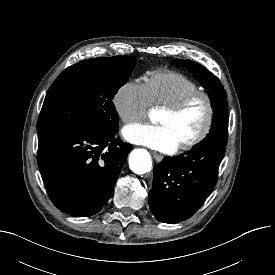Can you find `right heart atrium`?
Here are the masks:
<instances>
[{
    "label": "right heart atrium",
    "instance_id": "right-heart-atrium-1",
    "mask_svg": "<svg viewBox=\"0 0 275 275\" xmlns=\"http://www.w3.org/2000/svg\"><path fill=\"white\" fill-rule=\"evenodd\" d=\"M113 106L125 124L143 119L151 106L145 85L137 80L126 81L116 90Z\"/></svg>",
    "mask_w": 275,
    "mask_h": 275
}]
</instances>
